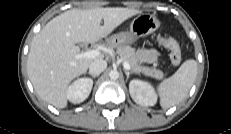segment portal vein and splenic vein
Masks as SVG:
<instances>
[{
  "instance_id": "18ae733b",
  "label": "portal vein and splenic vein",
  "mask_w": 231,
  "mask_h": 134,
  "mask_svg": "<svg viewBox=\"0 0 231 134\" xmlns=\"http://www.w3.org/2000/svg\"><path fill=\"white\" fill-rule=\"evenodd\" d=\"M99 55H101V51L99 50H88V51L80 53L78 57L79 58H96ZM123 67L126 70H130L131 68L130 64L126 60L123 61Z\"/></svg>"
}]
</instances>
